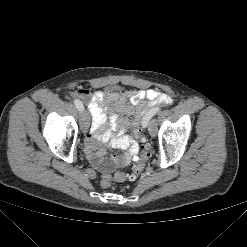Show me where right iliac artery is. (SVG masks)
<instances>
[{"instance_id": "right-iliac-artery-1", "label": "right iliac artery", "mask_w": 247, "mask_h": 247, "mask_svg": "<svg viewBox=\"0 0 247 247\" xmlns=\"http://www.w3.org/2000/svg\"><path fill=\"white\" fill-rule=\"evenodd\" d=\"M73 102H74V104L76 105V107H77V109L79 111H83L84 110L83 103L79 99H74Z\"/></svg>"}]
</instances>
